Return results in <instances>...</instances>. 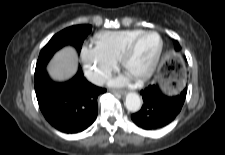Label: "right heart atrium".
<instances>
[{
	"mask_svg": "<svg viewBox=\"0 0 225 155\" xmlns=\"http://www.w3.org/2000/svg\"><path fill=\"white\" fill-rule=\"evenodd\" d=\"M81 60L88 79L96 84L103 83L115 69L117 62L101 54L95 47L84 46Z\"/></svg>",
	"mask_w": 225,
	"mask_h": 155,
	"instance_id": "d8ad5b80",
	"label": "right heart atrium"
}]
</instances>
